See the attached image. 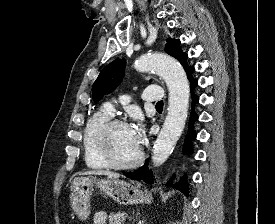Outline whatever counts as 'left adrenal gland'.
<instances>
[{
  "label": "left adrenal gland",
  "mask_w": 275,
  "mask_h": 224,
  "mask_svg": "<svg viewBox=\"0 0 275 224\" xmlns=\"http://www.w3.org/2000/svg\"><path fill=\"white\" fill-rule=\"evenodd\" d=\"M137 224H144V221L140 220Z\"/></svg>",
  "instance_id": "left-adrenal-gland-1"
}]
</instances>
